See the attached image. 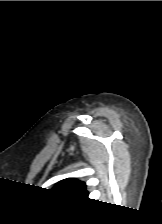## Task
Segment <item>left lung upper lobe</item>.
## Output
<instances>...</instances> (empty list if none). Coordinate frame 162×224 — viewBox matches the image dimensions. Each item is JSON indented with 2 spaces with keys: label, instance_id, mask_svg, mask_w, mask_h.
Returning a JSON list of instances; mask_svg holds the SVG:
<instances>
[{
  "label": "left lung upper lobe",
  "instance_id": "left-lung-upper-lobe-1",
  "mask_svg": "<svg viewBox=\"0 0 162 224\" xmlns=\"http://www.w3.org/2000/svg\"><path fill=\"white\" fill-rule=\"evenodd\" d=\"M52 190L57 193L79 198H86L88 196L85 183L74 178L60 181Z\"/></svg>",
  "mask_w": 162,
  "mask_h": 224
}]
</instances>
